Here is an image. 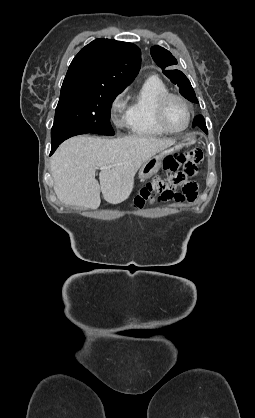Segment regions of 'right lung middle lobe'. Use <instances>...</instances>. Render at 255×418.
Instances as JSON below:
<instances>
[{"label":"right lung middle lobe","instance_id":"right-lung-middle-lobe-1","mask_svg":"<svg viewBox=\"0 0 255 418\" xmlns=\"http://www.w3.org/2000/svg\"><path fill=\"white\" fill-rule=\"evenodd\" d=\"M122 90L81 85L62 86L51 138L69 132L114 135L110 123L111 105Z\"/></svg>","mask_w":255,"mask_h":418}]
</instances>
